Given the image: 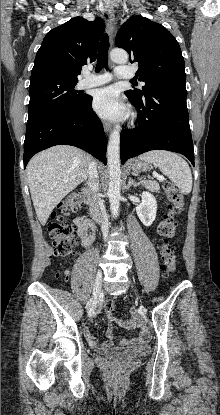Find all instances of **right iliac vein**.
I'll use <instances>...</instances> for the list:
<instances>
[{"label": "right iliac vein", "mask_w": 220, "mask_h": 415, "mask_svg": "<svg viewBox=\"0 0 220 415\" xmlns=\"http://www.w3.org/2000/svg\"><path fill=\"white\" fill-rule=\"evenodd\" d=\"M102 278H103V274L101 270H98L97 275H96V279H95V283H94V287H93V301L91 303L90 308L88 309V316L92 317L95 313V309L98 303V298L100 296L101 293V287H102Z\"/></svg>", "instance_id": "63e3f726"}]
</instances>
